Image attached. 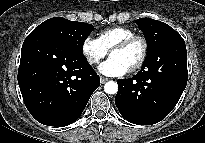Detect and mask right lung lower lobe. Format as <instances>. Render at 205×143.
<instances>
[{"label":"right lung lower lobe","instance_id":"98d812e1","mask_svg":"<svg viewBox=\"0 0 205 143\" xmlns=\"http://www.w3.org/2000/svg\"><path fill=\"white\" fill-rule=\"evenodd\" d=\"M18 83L38 122L64 127L82 114L100 78L82 53L49 36L30 33L21 49Z\"/></svg>","mask_w":205,"mask_h":143}]
</instances>
